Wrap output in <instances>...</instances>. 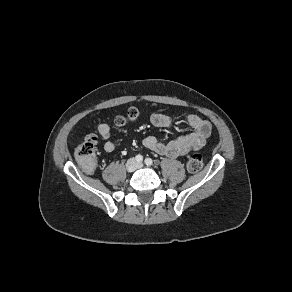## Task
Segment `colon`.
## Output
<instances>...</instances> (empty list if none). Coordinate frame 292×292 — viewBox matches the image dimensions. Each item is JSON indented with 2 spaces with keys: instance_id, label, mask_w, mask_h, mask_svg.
Wrapping results in <instances>:
<instances>
[{
  "instance_id": "colon-1",
  "label": "colon",
  "mask_w": 292,
  "mask_h": 292,
  "mask_svg": "<svg viewBox=\"0 0 292 292\" xmlns=\"http://www.w3.org/2000/svg\"><path fill=\"white\" fill-rule=\"evenodd\" d=\"M139 118V111L136 108H130L124 115L115 119V124L119 127L125 126L130 122H135ZM97 144L98 137L95 134L87 135L81 144L75 150V156L86 172H91L96 167L97 162ZM204 166V155L201 152L193 153L187 163L190 172H197Z\"/></svg>"
}]
</instances>
